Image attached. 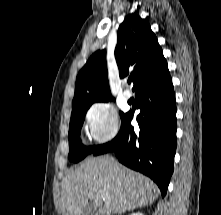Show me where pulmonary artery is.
I'll use <instances>...</instances> for the list:
<instances>
[{"label":"pulmonary artery","instance_id":"obj_1","mask_svg":"<svg viewBox=\"0 0 221 215\" xmlns=\"http://www.w3.org/2000/svg\"><path fill=\"white\" fill-rule=\"evenodd\" d=\"M123 97H124L126 100H129V99L132 97L131 91H129V90H124V92H123Z\"/></svg>","mask_w":221,"mask_h":215}]
</instances>
